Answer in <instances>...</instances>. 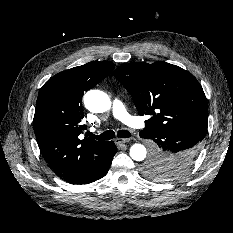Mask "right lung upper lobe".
Masks as SVG:
<instances>
[{
	"instance_id": "cb5924a9",
	"label": "right lung upper lobe",
	"mask_w": 233,
	"mask_h": 233,
	"mask_svg": "<svg viewBox=\"0 0 233 233\" xmlns=\"http://www.w3.org/2000/svg\"><path fill=\"white\" fill-rule=\"evenodd\" d=\"M114 67L113 63L92 61L56 74L41 88L33 128L41 154L57 175L106 142L79 139L86 128L81 124V100L84 91L107 77Z\"/></svg>"
}]
</instances>
